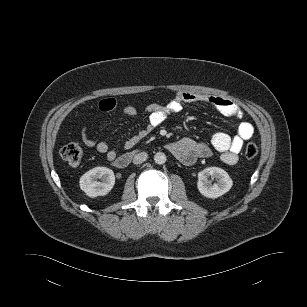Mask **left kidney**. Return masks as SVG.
<instances>
[{"instance_id":"left-kidney-1","label":"left kidney","mask_w":307,"mask_h":307,"mask_svg":"<svg viewBox=\"0 0 307 307\" xmlns=\"http://www.w3.org/2000/svg\"><path fill=\"white\" fill-rule=\"evenodd\" d=\"M209 177L215 178L213 185ZM233 185L229 174L219 167H208L198 173L197 187L199 192L207 198H217L228 192Z\"/></svg>"}]
</instances>
